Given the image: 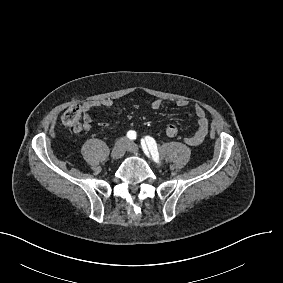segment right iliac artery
Segmentation results:
<instances>
[{"instance_id": "1", "label": "right iliac artery", "mask_w": 283, "mask_h": 283, "mask_svg": "<svg viewBox=\"0 0 283 283\" xmlns=\"http://www.w3.org/2000/svg\"><path fill=\"white\" fill-rule=\"evenodd\" d=\"M127 137L129 138V139H131V140H134V139H136V132L135 131H129L128 133H127Z\"/></svg>"}]
</instances>
